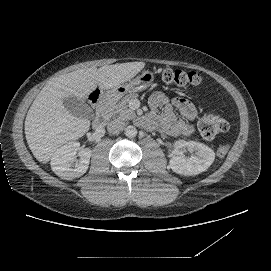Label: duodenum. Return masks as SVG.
<instances>
[{"mask_svg": "<svg viewBox=\"0 0 271 271\" xmlns=\"http://www.w3.org/2000/svg\"><path fill=\"white\" fill-rule=\"evenodd\" d=\"M113 96L109 94L102 95L97 103L96 117L94 127L99 128L106 125L111 118Z\"/></svg>", "mask_w": 271, "mask_h": 271, "instance_id": "1", "label": "duodenum"}]
</instances>
